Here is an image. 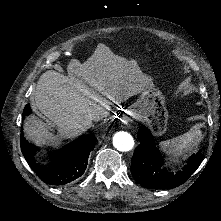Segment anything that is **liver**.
Returning a JSON list of instances; mask_svg holds the SVG:
<instances>
[{
	"label": "liver",
	"instance_id": "obj_1",
	"mask_svg": "<svg viewBox=\"0 0 221 221\" xmlns=\"http://www.w3.org/2000/svg\"><path fill=\"white\" fill-rule=\"evenodd\" d=\"M67 74L70 79L55 70L44 72L31 94L34 109L57 128L52 132L36 115L25 117L24 135L35 146L57 149L65 141L82 136L93 126L90 117L99 107H108L113 96L120 98L128 91L136 92L142 80L136 70L131 71L120 59H115L102 43L97 44L82 66L70 60Z\"/></svg>",
	"mask_w": 221,
	"mask_h": 221
}]
</instances>
